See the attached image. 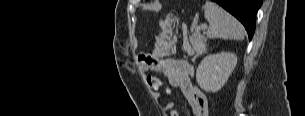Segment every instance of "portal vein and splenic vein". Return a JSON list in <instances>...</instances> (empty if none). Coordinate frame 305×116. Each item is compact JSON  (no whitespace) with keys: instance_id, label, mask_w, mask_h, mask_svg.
<instances>
[{"instance_id":"obj_1","label":"portal vein and splenic vein","mask_w":305,"mask_h":116,"mask_svg":"<svg viewBox=\"0 0 305 116\" xmlns=\"http://www.w3.org/2000/svg\"><path fill=\"white\" fill-rule=\"evenodd\" d=\"M205 29H207V24L206 23L201 24V25L197 26V28H196V30H205Z\"/></svg>"}]
</instances>
